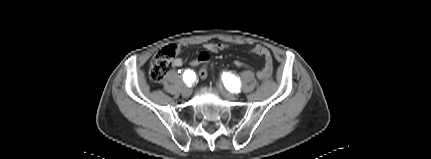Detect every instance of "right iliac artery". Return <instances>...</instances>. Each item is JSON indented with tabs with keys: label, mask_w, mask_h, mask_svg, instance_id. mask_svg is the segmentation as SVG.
<instances>
[{
	"label": "right iliac artery",
	"mask_w": 431,
	"mask_h": 159,
	"mask_svg": "<svg viewBox=\"0 0 431 159\" xmlns=\"http://www.w3.org/2000/svg\"><path fill=\"white\" fill-rule=\"evenodd\" d=\"M195 80V73L188 69L183 73V81L188 85L191 86V83Z\"/></svg>",
	"instance_id": "obj_1"
}]
</instances>
